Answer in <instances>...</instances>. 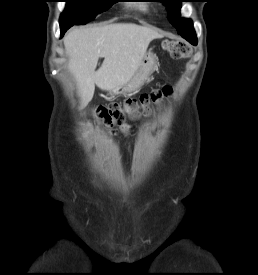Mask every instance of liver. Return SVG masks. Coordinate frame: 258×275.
<instances>
[{
  "mask_svg": "<svg viewBox=\"0 0 258 275\" xmlns=\"http://www.w3.org/2000/svg\"><path fill=\"white\" fill-rule=\"evenodd\" d=\"M161 37L153 28L134 23L80 27L65 35L68 70L76 80L81 108L92 99L95 85L111 92L128 83L150 42ZM99 58L104 61L96 71Z\"/></svg>",
  "mask_w": 258,
  "mask_h": 275,
  "instance_id": "6515ba94",
  "label": "liver"
}]
</instances>
